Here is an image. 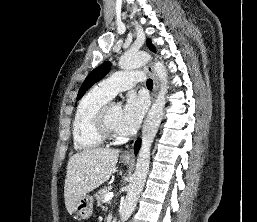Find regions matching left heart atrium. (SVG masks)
Here are the masks:
<instances>
[{
  "instance_id": "39dd6f15",
  "label": "left heart atrium",
  "mask_w": 257,
  "mask_h": 222,
  "mask_svg": "<svg viewBox=\"0 0 257 222\" xmlns=\"http://www.w3.org/2000/svg\"><path fill=\"white\" fill-rule=\"evenodd\" d=\"M146 110L147 101L143 96L129 95L121 113L118 131L122 134L133 133L140 125Z\"/></svg>"
}]
</instances>
